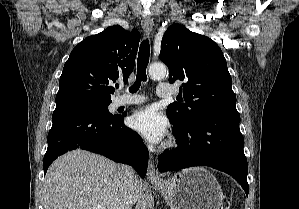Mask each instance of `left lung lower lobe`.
<instances>
[{
    "mask_svg": "<svg viewBox=\"0 0 299 209\" xmlns=\"http://www.w3.org/2000/svg\"><path fill=\"white\" fill-rule=\"evenodd\" d=\"M239 123L240 115L233 107L210 110L187 126L175 127L172 132L179 147L161 155L159 171L210 166L231 175L248 196V165Z\"/></svg>",
    "mask_w": 299,
    "mask_h": 209,
    "instance_id": "0a47b994",
    "label": "left lung lower lobe"
}]
</instances>
